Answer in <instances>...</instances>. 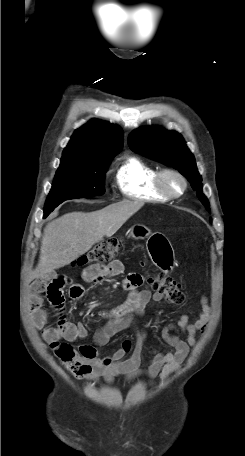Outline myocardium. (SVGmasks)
<instances>
[{"mask_svg":"<svg viewBox=\"0 0 245 456\" xmlns=\"http://www.w3.org/2000/svg\"><path fill=\"white\" fill-rule=\"evenodd\" d=\"M169 175L175 176L181 181L182 189L180 192L174 193L168 188L165 179ZM154 185H155L157 191L159 193H161L162 195L166 196L168 199H176V198L181 197L185 193V191L187 189V180H186L185 176L178 170L171 169V168H165V169L159 170L157 172L155 179H154Z\"/></svg>","mask_w":245,"mask_h":456,"instance_id":"obj_1","label":"myocardium"}]
</instances>
